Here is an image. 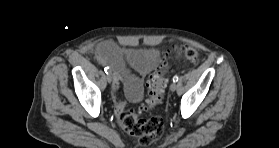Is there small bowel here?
Masks as SVG:
<instances>
[{
  "label": "small bowel",
  "mask_w": 279,
  "mask_h": 148,
  "mask_svg": "<svg viewBox=\"0 0 279 148\" xmlns=\"http://www.w3.org/2000/svg\"><path fill=\"white\" fill-rule=\"evenodd\" d=\"M97 58L102 65L114 71L112 97L115 104V114L119 116L125 108V102L117 93L121 83L124 85L125 95L129 101L139 102L143 97L141 78L133 75L125 63L141 76H145L157 66L160 53L154 49L121 51L114 42L107 40L97 46Z\"/></svg>",
  "instance_id": "obj_1"
}]
</instances>
